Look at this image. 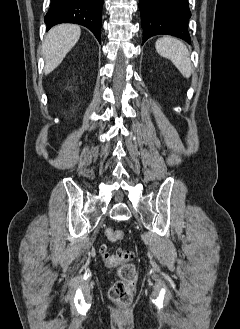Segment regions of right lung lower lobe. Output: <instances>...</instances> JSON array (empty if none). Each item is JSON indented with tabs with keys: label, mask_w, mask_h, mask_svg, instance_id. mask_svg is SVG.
I'll return each instance as SVG.
<instances>
[{
	"label": "right lung lower lobe",
	"mask_w": 240,
	"mask_h": 329,
	"mask_svg": "<svg viewBox=\"0 0 240 329\" xmlns=\"http://www.w3.org/2000/svg\"><path fill=\"white\" fill-rule=\"evenodd\" d=\"M103 0H51L44 21L47 30L60 23L87 27L100 42Z\"/></svg>",
	"instance_id": "98d812e1"
}]
</instances>
